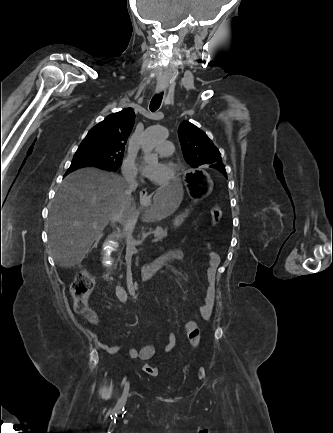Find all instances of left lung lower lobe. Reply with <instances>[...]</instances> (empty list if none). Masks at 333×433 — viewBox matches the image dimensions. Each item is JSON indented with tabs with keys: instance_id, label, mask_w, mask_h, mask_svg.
Instances as JSON below:
<instances>
[{
	"instance_id": "0a47b994",
	"label": "left lung lower lobe",
	"mask_w": 333,
	"mask_h": 433,
	"mask_svg": "<svg viewBox=\"0 0 333 433\" xmlns=\"http://www.w3.org/2000/svg\"><path fill=\"white\" fill-rule=\"evenodd\" d=\"M210 167H211V168H214V169H216V170H218V171H220V170L223 171V169H222L220 166H218V165H211ZM220 172H221V171H220ZM226 177H227V175H226Z\"/></svg>"
}]
</instances>
